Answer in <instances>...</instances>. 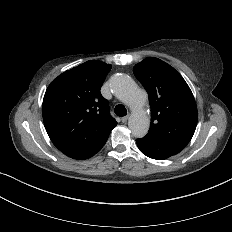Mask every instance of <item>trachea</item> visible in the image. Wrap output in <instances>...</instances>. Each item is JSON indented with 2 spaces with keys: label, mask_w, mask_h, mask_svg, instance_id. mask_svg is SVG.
Segmentation results:
<instances>
[{
  "label": "trachea",
  "mask_w": 232,
  "mask_h": 232,
  "mask_svg": "<svg viewBox=\"0 0 232 232\" xmlns=\"http://www.w3.org/2000/svg\"><path fill=\"white\" fill-rule=\"evenodd\" d=\"M114 112L119 117H124L127 114V110H126L125 106L122 104H118L115 107Z\"/></svg>",
  "instance_id": "obj_1"
}]
</instances>
